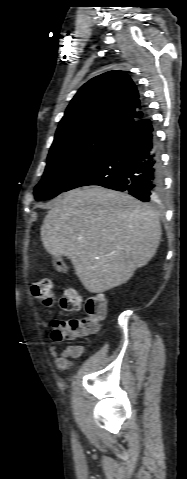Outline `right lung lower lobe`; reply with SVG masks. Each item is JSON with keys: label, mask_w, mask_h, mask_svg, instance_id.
<instances>
[{"label": "right lung lower lobe", "mask_w": 187, "mask_h": 479, "mask_svg": "<svg viewBox=\"0 0 187 479\" xmlns=\"http://www.w3.org/2000/svg\"><path fill=\"white\" fill-rule=\"evenodd\" d=\"M99 185L126 191L141 201L163 194V173L158 141L150 119L135 121L92 163L79 172L63 192Z\"/></svg>", "instance_id": "1"}]
</instances>
